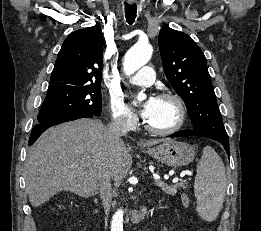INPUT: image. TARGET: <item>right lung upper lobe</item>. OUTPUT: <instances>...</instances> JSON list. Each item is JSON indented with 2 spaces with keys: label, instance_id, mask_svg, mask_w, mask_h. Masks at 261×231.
I'll list each match as a JSON object with an SVG mask.
<instances>
[{
  "label": "right lung upper lobe",
  "instance_id": "1",
  "mask_svg": "<svg viewBox=\"0 0 261 231\" xmlns=\"http://www.w3.org/2000/svg\"><path fill=\"white\" fill-rule=\"evenodd\" d=\"M103 34L99 25L72 32L63 42L49 88L100 86Z\"/></svg>",
  "mask_w": 261,
  "mask_h": 231
}]
</instances>
